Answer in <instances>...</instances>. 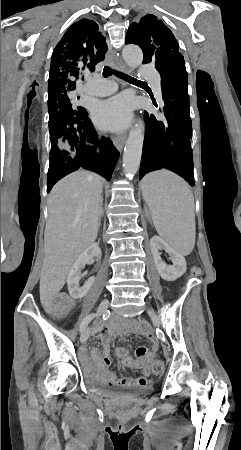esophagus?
I'll return each instance as SVG.
<instances>
[{
	"label": "esophagus",
	"mask_w": 241,
	"mask_h": 450,
	"mask_svg": "<svg viewBox=\"0 0 241 450\" xmlns=\"http://www.w3.org/2000/svg\"><path fill=\"white\" fill-rule=\"evenodd\" d=\"M111 60L115 67H117L119 70L126 71V67L117 58H115L113 52L111 55ZM113 141L117 150L121 152L125 144V136L115 137Z\"/></svg>",
	"instance_id": "obj_1"
}]
</instances>
